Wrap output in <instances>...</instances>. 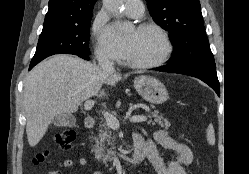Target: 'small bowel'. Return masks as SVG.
I'll use <instances>...</instances> for the list:
<instances>
[{
	"instance_id": "small-bowel-1",
	"label": "small bowel",
	"mask_w": 249,
	"mask_h": 174,
	"mask_svg": "<svg viewBox=\"0 0 249 174\" xmlns=\"http://www.w3.org/2000/svg\"><path fill=\"white\" fill-rule=\"evenodd\" d=\"M155 141L165 149L172 150L176 153L175 158L165 163L155 145L145 140L141 135L134 136L135 143L146 146V157L152 165L156 174H187L186 168L193 162V152L186 144L175 140L167 131L159 130L154 135ZM77 164L87 167L88 160L80 157L77 162L71 159L64 160L59 163L60 168H73ZM47 174H63L61 170H50ZM92 174H103L100 171H92Z\"/></svg>"
}]
</instances>
